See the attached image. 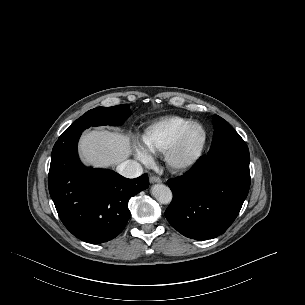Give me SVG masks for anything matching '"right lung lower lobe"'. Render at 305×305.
Returning <instances> with one entry per match:
<instances>
[{"label": "right lung lower lobe", "instance_id": "right-lung-lower-lobe-1", "mask_svg": "<svg viewBox=\"0 0 305 305\" xmlns=\"http://www.w3.org/2000/svg\"><path fill=\"white\" fill-rule=\"evenodd\" d=\"M81 133L55 143L49 192L65 227L77 238L99 244L115 238L129 217L128 200L148 188L147 174L127 179L107 169L85 167L77 144Z\"/></svg>", "mask_w": 305, "mask_h": 305}]
</instances>
